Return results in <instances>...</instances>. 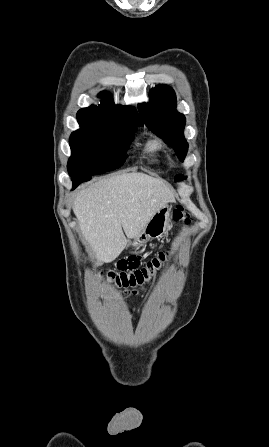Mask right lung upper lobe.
<instances>
[{"label": "right lung upper lobe", "mask_w": 269, "mask_h": 447, "mask_svg": "<svg viewBox=\"0 0 269 447\" xmlns=\"http://www.w3.org/2000/svg\"><path fill=\"white\" fill-rule=\"evenodd\" d=\"M103 100L99 105H91L79 110L77 119L108 125L141 124L143 122L132 106L115 105L109 93L101 92Z\"/></svg>", "instance_id": "1"}]
</instances>
